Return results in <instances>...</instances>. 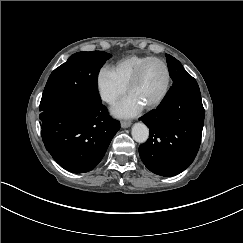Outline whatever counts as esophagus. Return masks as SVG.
<instances>
[{
    "label": "esophagus",
    "mask_w": 243,
    "mask_h": 243,
    "mask_svg": "<svg viewBox=\"0 0 243 243\" xmlns=\"http://www.w3.org/2000/svg\"><path fill=\"white\" fill-rule=\"evenodd\" d=\"M131 121H122L121 122V127L122 128H128V127H130L131 126Z\"/></svg>",
    "instance_id": "obj_1"
}]
</instances>
